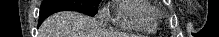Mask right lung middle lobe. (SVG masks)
I'll return each mask as SVG.
<instances>
[{
	"instance_id": "right-lung-middle-lobe-1",
	"label": "right lung middle lobe",
	"mask_w": 219,
	"mask_h": 37,
	"mask_svg": "<svg viewBox=\"0 0 219 37\" xmlns=\"http://www.w3.org/2000/svg\"><path fill=\"white\" fill-rule=\"evenodd\" d=\"M54 8H68L72 11L94 16L98 11V0H44L40 12Z\"/></svg>"
}]
</instances>
